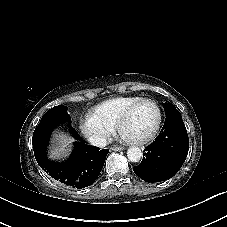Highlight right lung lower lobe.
<instances>
[{
    "label": "right lung lower lobe",
    "mask_w": 227,
    "mask_h": 227,
    "mask_svg": "<svg viewBox=\"0 0 227 227\" xmlns=\"http://www.w3.org/2000/svg\"><path fill=\"white\" fill-rule=\"evenodd\" d=\"M54 127L43 126L34 131L33 149L38 165L52 178L72 188L82 189L92 185L103 168L109 149L100 150L75 142L69 159L63 163H54L46 157V145Z\"/></svg>",
    "instance_id": "98d812e1"
}]
</instances>
